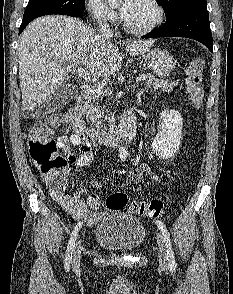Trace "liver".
<instances>
[{"instance_id":"obj_1","label":"liver","mask_w":233,"mask_h":294,"mask_svg":"<svg viewBox=\"0 0 233 294\" xmlns=\"http://www.w3.org/2000/svg\"><path fill=\"white\" fill-rule=\"evenodd\" d=\"M154 43L133 41L124 49L134 56L144 54ZM18 50L22 105L27 111L69 81L64 64L85 66L92 81L114 75L123 64L117 43L102 38L83 21L66 16L34 20L21 34Z\"/></svg>"}]
</instances>
